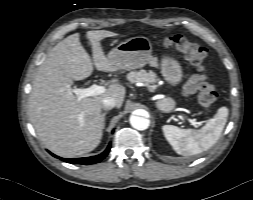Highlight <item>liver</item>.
I'll list each match as a JSON object with an SVG mask.
<instances>
[{"instance_id": "liver-1", "label": "liver", "mask_w": 253, "mask_h": 200, "mask_svg": "<svg viewBox=\"0 0 253 200\" xmlns=\"http://www.w3.org/2000/svg\"><path fill=\"white\" fill-rule=\"evenodd\" d=\"M115 33L106 30L88 31L94 66L103 72H116L108 61L100 41ZM93 72L90 56L80 43L79 34H72L48 53L32 82L28 116L44 146L61 157H76L94 150L102 137V102L114 98L117 108L123 104L126 88L112 83L103 94L81 100L71 91L74 81Z\"/></svg>"}]
</instances>
